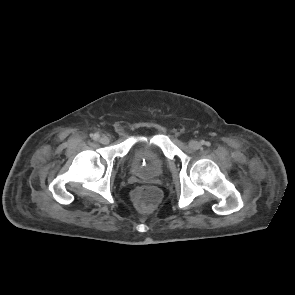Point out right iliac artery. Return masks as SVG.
<instances>
[{
    "mask_svg": "<svg viewBox=\"0 0 295 295\" xmlns=\"http://www.w3.org/2000/svg\"><path fill=\"white\" fill-rule=\"evenodd\" d=\"M92 138H93L94 140H97V139L99 138V134H97V133L93 134V135H92Z\"/></svg>",
    "mask_w": 295,
    "mask_h": 295,
    "instance_id": "right-iliac-artery-1",
    "label": "right iliac artery"
}]
</instances>
